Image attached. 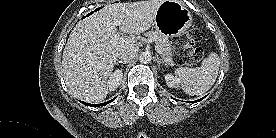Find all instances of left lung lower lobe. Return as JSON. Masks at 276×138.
Listing matches in <instances>:
<instances>
[{
    "mask_svg": "<svg viewBox=\"0 0 276 138\" xmlns=\"http://www.w3.org/2000/svg\"><path fill=\"white\" fill-rule=\"evenodd\" d=\"M203 98L199 99V100H196V101H191L190 103H195V102H198L200 100H202Z\"/></svg>",
    "mask_w": 276,
    "mask_h": 138,
    "instance_id": "0a47b994",
    "label": "left lung lower lobe"
}]
</instances>
